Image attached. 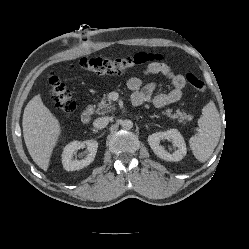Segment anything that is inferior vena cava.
<instances>
[{"label":"inferior vena cava","instance_id":"obj_1","mask_svg":"<svg viewBox=\"0 0 249 249\" xmlns=\"http://www.w3.org/2000/svg\"><path fill=\"white\" fill-rule=\"evenodd\" d=\"M109 121H110V117H108V116L100 117V118H97L94 120L93 126L96 129H102L108 125Z\"/></svg>","mask_w":249,"mask_h":249}]
</instances>
